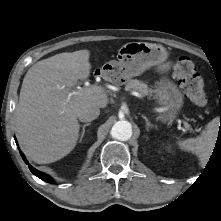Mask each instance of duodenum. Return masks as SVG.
<instances>
[{"label":"duodenum","instance_id":"duodenum-1","mask_svg":"<svg viewBox=\"0 0 221 221\" xmlns=\"http://www.w3.org/2000/svg\"><path fill=\"white\" fill-rule=\"evenodd\" d=\"M96 76L101 77L103 75V71L102 70H98L96 71Z\"/></svg>","mask_w":221,"mask_h":221}]
</instances>
